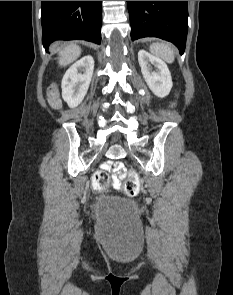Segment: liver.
I'll use <instances>...</instances> for the list:
<instances>
[{"instance_id":"6515ba94","label":"liver","mask_w":233,"mask_h":295,"mask_svg":"<svg viewBox=\"0 0 233 295\" xmlns=\"http://www.w3.org/2000/svg\"><path fill=\"white\" fill-rule=\"evenodd\" d=\"M81 54V48L74 44L70 43L66 45L63 49L59 51V65L67 66L74 62Z\"/></svg>"}]
</instances>
